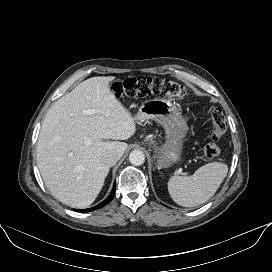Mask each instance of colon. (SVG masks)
<instances>
[{"label":"colon","instance_id":"obj_1","mask_svg":"<svg viewBox=\"0 0 272 272\" xmlns=\"http://www.w3.org/2000/svg\"><path fill=\"white\" fill-rule=\"evenodd\" d=\"M111 89L117 97L143 98L150 95L161 97L180 98L186 95V89L179 83L160 78L134 77L116 81ZM212 121L211 138L219 139L227 129V121L220 108L213 107L210 110ZM220 149L216 143H208L204 148L207 158H215L219 155Z\"/></svg>","mask_w":272,"mask_h":272}]
</instances>
